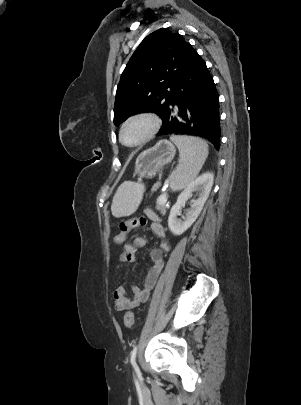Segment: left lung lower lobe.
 I'll list each match as a JSON object with an SVG mask.
<instances>
[{
  "mask_svg": "<svg viewBox=\"0 0 301 405\" xmlns=\"http://www.w3.org/2000/svg\"><path fill=\"white\" fill-rule=\"evenodd\" d=\"M158 135L199 136L220 148L219 96L206 63L196 51Z\"/></svg>",
  "mask_w": 301,
  "mask_h": 405,
  "instance_id": "1",
  "label": "left lung lower lobe"
}]
</instances>
